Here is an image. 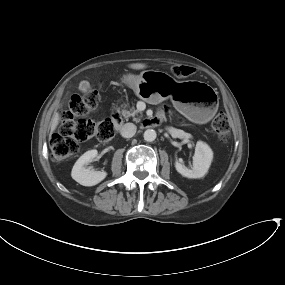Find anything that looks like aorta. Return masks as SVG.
Instances as JSON below:
<instances>
[{
	"label": "aorta",
	"instance_id": "aorta-1",
	"mask_svg": "<svg viewBox=\"0 0 285 285\" xmlns=\"http://www.w3.org/2000/svg\"><path fill=\"white\" fill-rule=\"evenodd\" d=\"M143 137L147 142H152L156 139L157 134H156L155 130L147 129V130H145Z\"/></svg>",
	"mask_w": 285,
	"mask_h": 285
}]
</instances>
